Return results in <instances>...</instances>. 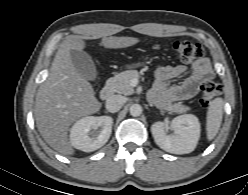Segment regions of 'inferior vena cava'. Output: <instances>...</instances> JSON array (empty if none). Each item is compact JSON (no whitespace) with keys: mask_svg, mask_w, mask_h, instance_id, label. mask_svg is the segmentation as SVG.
<instances>
[{"mask_svg":"<svg viewBox=\"0 0 248 195\" xmlns=\"http://www.w3.org/2000/svg\"><path fill=\"white\" fill-rule=\"evenodd\" d=\"M125 102V99L121 95H112L106 100V109L111 112L115 113L121 109Z\"/></svg>","mask_w":248,"mask_h":195,"instance_id":"602c4592","label":"inferior vena cava"}]
</instances>
